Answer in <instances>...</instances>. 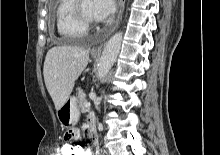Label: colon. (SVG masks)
Wrapping results in <instances>:
<instances>
[{
	"mask_svg": "<svg viewBox=\"0 0 220 155\" xmlns=\"http://www.w3.org/2000/svg\"><path fill=\"white\" fill-rule=\"evenodd\" d=\"M62 155H82L81 147L79 146H61Z\"/></svg>",
	"mask_w": 220,
	"mask_h": 155,
	"instance_id": "colon-1",
	"label": "colon"
}]
</instances>
